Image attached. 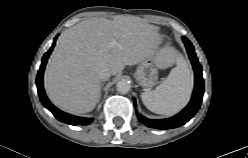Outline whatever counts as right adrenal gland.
Instances as JSON below:
<instances>
[{
    "label": "right adrenal gland",
    "instance_id": "right-adrenal-gland-1",
    "mask_svg": "<svg viewBox=\"0 0 248 158\" xmlns=\"http://www.w3.org/2000/svg\"><path fill=\"white\" fill-rule=\"evenodd\" d=\"M103 86H104V83L101 84V89H102ZM100 98H101V92H100Z\"/></svg>",
    "mask_w": 248,
    "mask_h": 158
}]
</instances>
